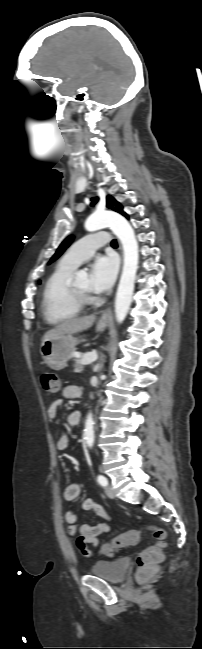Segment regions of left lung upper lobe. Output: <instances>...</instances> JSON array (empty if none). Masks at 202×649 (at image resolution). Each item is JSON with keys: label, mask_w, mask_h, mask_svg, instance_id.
Masks as SVG:
<instances>
[{"label": "left lung upper lobe", "mask_w": 202, "mask_h": 649, "mask_svg": "<svg viewBox=\"0 0 202 649\" xmlns=\"http://www.w3.org/2000/svg\"><path fill=\"white\" fill-rule=\"evenodd\" d=\"M92 200L94 201L93 203H91V205L93 206L94 203L98 200V198H92ZM107 207L110 208V209H112V210H114V211H116V212H118V213H120V214H122V215H124L125 217H128V215H127L126 213H124L121 204L118 203V202H117L113 197H111V196H107ZM72 240H73V236H70V237L66 238V239L61 243V245L58 247L56 253H55L54 256L51 258V260H50L49 263H51V262H53L54 260H56V259H57V258H58V257H59V256H60V255L65 251V249L69 246V244L72 242Z\"/></svg>", "instance_id": "1"}]
</instances>
